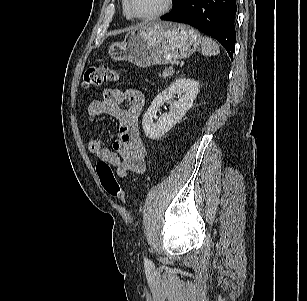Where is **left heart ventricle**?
Returning <instances> with one entry per match:
<instances>
[{
    "instance_id": "1",
    "label": "left heart ventricle",
    "mask_w": 307,
    "mask_h": 301,
    "mask_svg": "<svg viewBox=\"0 0 307 301\" xmlns=\"http://www.w3.org/2000/svg\"><path fill=\"white\" fill-rule=\"evenodd\" d=\"M166 0H132V5L137 13L149 15L159 11Z\"/></svg>"
}]
</instances>
